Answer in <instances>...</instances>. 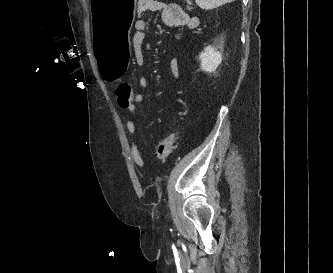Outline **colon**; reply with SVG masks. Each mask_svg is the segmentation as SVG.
Wrapping results in <instances>:
<instances>
[{
    "mask_svg": "<svg viewBox=\"0 0 333 273\" xmlns=\"http://www.w3.org/2000/svg\"><path fill=\"white\" fill-rule=\"evenodd\" d=\"M118 104L123 109H128L135 104L133 90L128 84H120L116 89ZM177 135L170 133L161 139L155 149V157L160 161H165L176 148Z\"/></svg>",
    "mask_w": 333,
    "mask_h": 273,
    "instance_id": "colon-1",
    "label": "colon"
}]
</instances>
